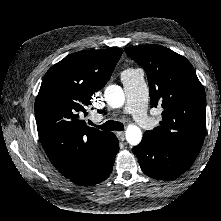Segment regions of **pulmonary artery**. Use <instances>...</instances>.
<instances>
[{
	"label": "pulmonary artery",
	"instance_id": "obj_1",
	"mask_svg": "<svg viewBox=\"0 0 221 221\" xmlns=\"http://www.w3.org/2000/svg\"><path fill=\"white\" fill-rule=\"evenodd\" d=\"M126 94V102L123 113L132 116L134 121L140 125H151L146 107L148 102V87L144 80V73L141 69L124 71L121 75ZM95 120H100L101 116L96 115Z\"/></svg>",
	"mask_w": 221,
	"mask_h": 221
}]
</instances>
